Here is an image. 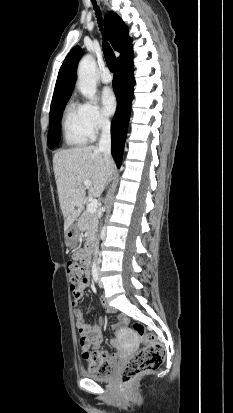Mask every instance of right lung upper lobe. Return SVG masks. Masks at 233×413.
I'll list each match as a JSON object with an SVG mask.
<instances>
[{
  "label": "right lung upper lobe",
  "mask_w": 233,
  "mask_h": 413,
  "mask_svg": "<svg viewBox=\"0 0 233 413\" xmlns=\"http://www.w3.org/2000/svg\"><path fill=\"white\" fill-rule=\"evenodd\" d=\"M105 29L113 48L120 52L117 62L133 51L132 40L129 37L127 26L113 11L108 12L104 18ZM82 50L74 47L65 58L59 73L51 104L70 98L76 80V65L81 58Z\"/></svg>",
  "instance_id": "obj_1"
}]
</instances>
